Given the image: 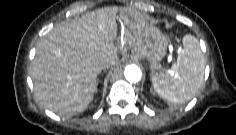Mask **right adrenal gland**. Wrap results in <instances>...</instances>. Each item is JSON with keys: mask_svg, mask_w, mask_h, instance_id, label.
I'll use <instances>...</instances> for the list:
<instances>
[{"mask_svg": "<svg viewBox=\"0 0 236 135\" xmlns=\"http://www.w3.org/2000/svg\"><path fill=\"white\" fill-rule=\"evenodd\" d=\"M97 85H98V81H97ZM95 93H97V88L95 89Z\"/></svg>", "mask_w": 236, "mask_h": 135, "instance_id": "right-adrenal-gland-1", "label": "right adrenal gland"}]
</instances>
